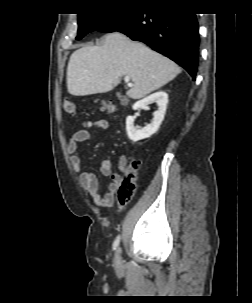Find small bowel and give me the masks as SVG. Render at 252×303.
Instances as JSON below:
<instances>
[{"label": "small bowel", "mask_w": 252, "mask_h": 303, "mask_svg": "<svg viewBox=\"0 0 252 303\" xmlns=\"http://www.w3.org/2000/svg\"><path fill=\"white\" fill-rule=\"evenodd\" d=\"M109 122L105 119H93L84 121L80 128L74 131L67 144L69 161L73 170L78 174V179L85 191L88 192L95 204L103 207H111L115 202V194L121 183V176L112 171V162L103 160L100 163V172L105 176H110L111 181L107 191L102 194L99 191V184L95 176L82 170L81 159L77 155L78 146L87 141L90 137V131L107 130ZM124 165L120 162V167Z\"/></svg>", "instance_id": "obj_1"}]
</instances>
